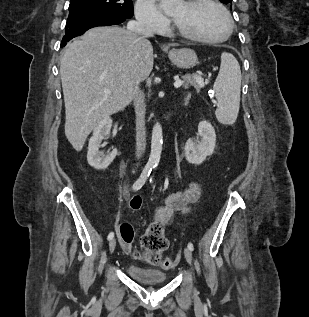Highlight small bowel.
<instances>
[{"instance_id":"1","label":"small bowel","mask_w":309,"mask_h":317,"mask_svg":"<svg viewBox=\"0 0 309 317\" xmlns=\"http://www.w3.org/2000/svg\"><path fill=\"white\" fill-rule=\"evenodd\" d=\"M200 197V188L196 183L190 184L188 189L170 193L162 197V204L157 207L155 216L160 223H169L175 213L184 214L189 205L194 204Z\"/></svg>"}]
</instances>
